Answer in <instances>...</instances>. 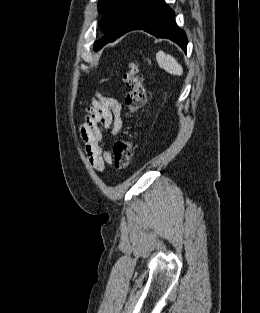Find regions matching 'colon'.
<instances>
[{
    "label": "colon",
    "instance_id": "5ec220e1",
    "mask_svg": "<svg viewBox=\"0 0 260 313\" xmlns=\"http://www.w3.org/2000/svg\"><path fill=\"white\" fill-rule=\"evenodd\" d=\"M139 65L131 63L128 69L122 73V78L128 88L124 101L127 118L132 119L135 113L144 106L146 92L143 79L139 75ZM134 144L130 138H122L116 141L113 147V166L116 171L126 170L132 161Z\"/></svg>",
    "mask_w": 260,
    "mask_h": 313
}]
</instances>
